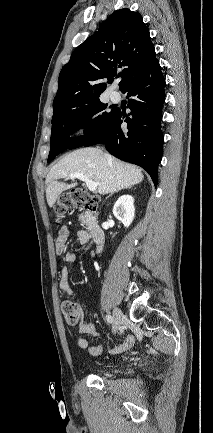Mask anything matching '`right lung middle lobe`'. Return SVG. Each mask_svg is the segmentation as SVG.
<instances>
[{
  "label": "right lung middle lobe",
  "instance_id": "obj_1",
  "mask_svg": "<svg viewBox=\"0 0 213 433\" xmlns=\"http://www.w3.org/2000/svg\"><path fill=\"white\" fill-rule=\"evenodd\" d=\"M107 104L99 97L75 104L63 109L52 118V132L50 138V153L48 162L66 149L79 147L81 144L99 134L108 124L115 110L104 111ZM85 127V135L70 138L79 128Z\"/></svg>",
  "mask_w": 213,
  "mask_h": 433
}]
</instances>
